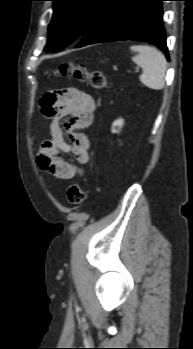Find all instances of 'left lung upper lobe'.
<instances>
[{
    "mask_svg": "<svg viewBox=\"0 0 193 349\" xmlns=\"http://www.w3.org/2000/svg\"><path fill=\"white\" fill-rule=\"evenodd\" d=\"M51 1L54 13L45 50L57 52L82 36L108 0Z\"/></svg>",
    "mask_w": 193,
    "mask_h": 349,
    "instance_id": "5c2ea615",
    "label": "left lung upper lobe"
}]
</instances>
